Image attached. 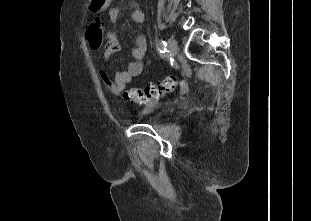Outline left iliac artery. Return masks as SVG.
I'll return each instance as SVG.
<instances>
[{"label": "left iliac artery", "instance_id": "obj_1", "mask_svg": "<svg viewBox=\"0 0 311 221\" xmlns=\"http://www.w3.org/2000/svg\"><path fill=\"white\" fill-rule=\"evenodd\" d=\"M158 51L165 55L167 53V49H166V42L164 39H159V42H158Z\"/></svg>", "mask_w": 311, "mask_h": 221}]
</instances>
